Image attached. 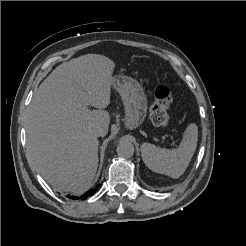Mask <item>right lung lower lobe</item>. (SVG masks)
Here are the masks:
<instances>
[{
	"mask_svg": "<svg viewBox=\"0 0 246 246\" xmlns=\"http://www.w3.org/2000/svg\"><path fill=\"white\" fill-rule=\"evenodd\" d=\"M100 184H98L94 189H91L89 190L88 192L84 193L83 195H81L80 197H76V196H66L70 199H81V200H84V199H87L88 197L92 196L93 194H95V192L97 191V189L99 188Z\"/></svg>",
	"mask_w": 246,
	"mask_h": 246,
	"instance_id": "right-lung-lower-lobe-1",
	"label": "right lung lower lobe"
}]
</instances>
